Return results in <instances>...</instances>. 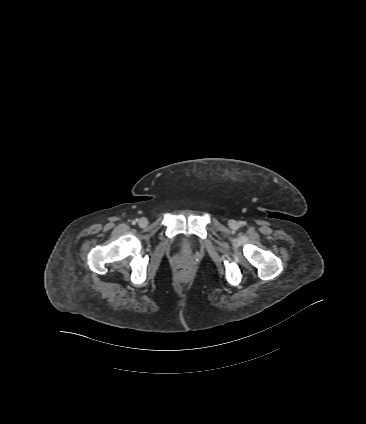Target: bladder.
<instances>
[{
    "label": "bladder",
    "mask_w": 366,
    "mask_h": 424,
    "mask_svg": "<svg viewBox=\"0 0 366 424\" xmlns=\"http://www.w3.org/2000/svg\"><path fill=\"white\" fill-rule=\"evenodd\" d=\"M184 247L188 248L189 244L187 242H185Z\"/></svg>",
    "instance_id": "obj_1"
}]
</instances>
